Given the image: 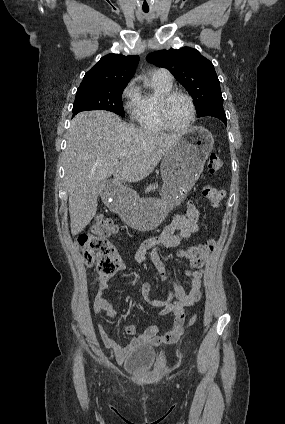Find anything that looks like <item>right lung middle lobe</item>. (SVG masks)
Returning <instances> with one entry per match:
<instances>
[{
    "label": "right lung middle lobe",
    "mask_w": 285,
    "mask_h": 424,
    "mask_svg": "<svg viewBox=\"0 0 285 424\" xmlns=\"http://www.w3.org/2000/svg\"><path fill=\"white\" fill-rule=\"evenodd\" d=\"M125 84L79 87L73 104V116L86 110H107L124 117L122 93Z\"/></svg>",
    "instance_id": "1"
}]
</instances>
